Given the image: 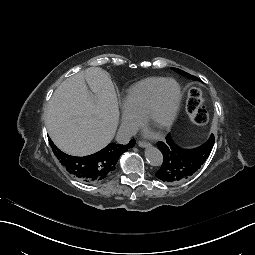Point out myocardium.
I'll use <instances>...</instances> for the list:
<instances>
[{"mask_svg":"<svg viewBox=\"0 0 255 255\" xmlns=\"http://www.w3.org/2000/svg\"><path fill=\"white\" fill-rule=\"evenodd\" d=\"M169 83L175 85V87H176V99H175V102H174L171 112L169 113L167 118L161 124L160 131H159V133H157V135L159 137H163L164 135H166L170 131V129L172 128V126L174 125V123L177 119V116H178V113H179V110L181 107V101H182V91H181V87L178 84V82H176L173 79H165L154 91L148 108L146 109V111L142 114V116L139 119V126L144 127L146 122L154 116L157 106H158V100H159L161 91H162L163 87Z\"/></svg>","mask_w":255,"mask_h":255,"instance_id":"1","label":"myocardium"}]
</instances>
